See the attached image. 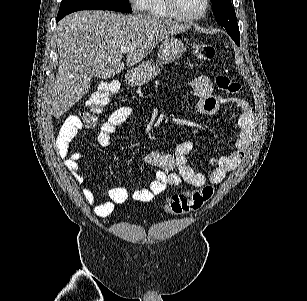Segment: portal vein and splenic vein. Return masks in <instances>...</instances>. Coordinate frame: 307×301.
I'll return each mask as SVG.
<instances>
[{
	"label": "portal vein and splenic vein",
	"mask_w": 307,
	"mask_h": 301,
	"mask_svg": "<svg viewBox=\"0 0 307 301\" xmlns=\"http://www.w3.org/2000/svg\"><path fill=\"white\" fill-rule=\"evenodd\" d=\"M130 48L129 46H122L121 48V52H124V54H126V52H129Z\"/></svg>",
	"instance_id": "obj_1"
}]
</instances>
